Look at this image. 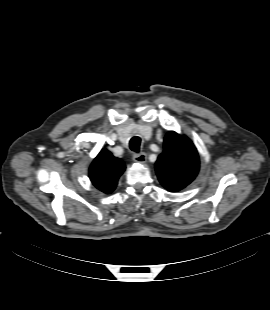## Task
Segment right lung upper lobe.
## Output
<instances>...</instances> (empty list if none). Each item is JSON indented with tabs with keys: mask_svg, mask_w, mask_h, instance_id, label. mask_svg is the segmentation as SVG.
I'll return each instance as SVG.
<instances>
[{
	"mask_svg": "<svg viewBox=\"0 0 270 310\" xmlns=\"http://www.w3.org/2000/svg\"><path fill=\"white\" fill-rule=\"evenodd\" d=\"M124 170L125 165L121 159L102 149L89 168V177L97 189L109 194L115 189Z\"/></svg>",
	"mask_w": 270,
	"mask_h": 310,
	"instance_id": "1",
	"label": "right lung upper lobe"
}]
</instances>
